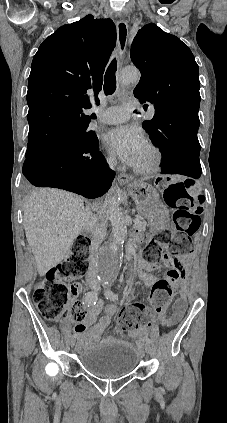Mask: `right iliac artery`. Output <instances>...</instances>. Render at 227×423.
Returning <instances> with one entry per match:
<instances>
[{
    "label": "right iliac artery",
    "mask_w": 227,
    "mask_h": 423,
    "mask_svg": "<svg viewBox=\"0 0 227 423\" xmlns=\"http://www.w3.org/2000/svg\"><path fill=\"white\" fill-rule=\"evenodd\" d=\"M97 299H98V293L96 291H90V292L85 293V304H86V306L89 307V306L96 304ZM76 337H77V334L74 333L72 335V338H76Z\"/></svg>",
    "instance_id": "1"
}]
</instances>
